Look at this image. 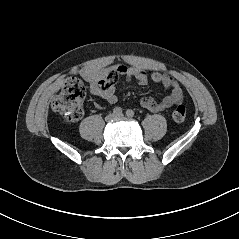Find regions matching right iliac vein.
Returning a JSON list of instances; mask_svg holds the SVG:
<instances>
[{"label": "right iliac vein", "mask_w": 239, "mask_h": 239, "mask_svg": "<svg viewBox=\"0 0 239 239\" xmlns=\"http://www.w3.org/2000/svg\"><path fill=\"white\" fill-rule=\"evenodd\" d=\"M115 117H116L115 114L110 113V114H108V115L106 116L105 120H106L107 122H110V121H112Z\"/></svg>", "instance_id": "obj_1"}]
</instances>
